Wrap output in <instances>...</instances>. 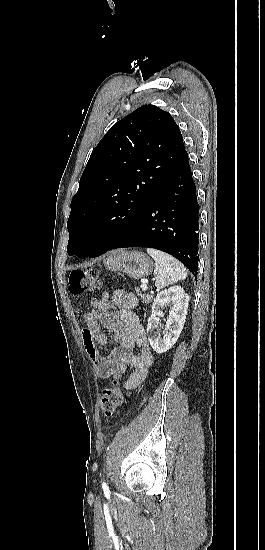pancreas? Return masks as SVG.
Masks as SVG:
<instances>
[{"label": "pancreas", "mask_w": 265, "mask_h": 550, "mask_svg": "<svg viewBox=\"0 0 265 550\" xmlns=\"http://www.w3.org/2000/svg\"><path fill=\"white\" fill-rule=\"evenodd\" d=\"M135 290H136L137 295L140 296L143 299V302L145 304H149V303L152 302L153 295H147V294L141 293L138 288H136Z\"/></svg>", "instance_id": "1"}]
</instances>
